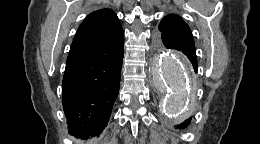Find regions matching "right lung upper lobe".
<instances>
[{
    "mask_svg": "<svg viewBox=\"0 0 260 144\" xmlns=\"http://www.w3.org/2000/svg\"><path fill=\"white\" fill-rule=\"evenodd\" d=\"M123 35L117 15L111 9H100L84 19L76 32L70 51L112 42Z\"/></svg>",
    "mask_w": 260,
    "mask_h": 144,
    "instance_id": "cb5924a9",
    "label": "right lung upper lobe"
}]
</instances>
